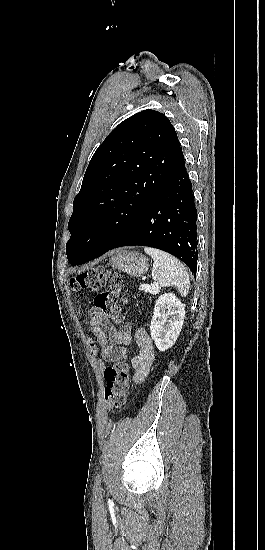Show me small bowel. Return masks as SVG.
Here are the masks:
<instances>
[{"label": "small bowel", "instance_id": "obj_1", "mask_svg": "<svg viewBox=\"0 0 265 550\" xmlns=\"http://www.w3.org/2000/svg\"><path fill=\"white\" fill-rule=\"evenodd\" d=\"M89 327L95 338L96 345L100 349V357L97 361V370L105 372L109 364L120 360L127 353V346L131 342V335L128 331H119L100 312L94 311L89 316ZM134 339L139 348L132 360L134 368L133 382L140 383L148 375L152 364L155 361V352L149 335L138 329ZM92 351L97 354V348L92 346Z\"/></svg>", "mask_w": 265, "mask_h": 550}]
</instances>
